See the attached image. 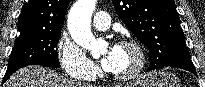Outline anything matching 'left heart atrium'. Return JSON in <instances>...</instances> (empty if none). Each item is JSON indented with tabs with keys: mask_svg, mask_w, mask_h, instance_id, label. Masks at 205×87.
Segmentation results:
<instances>
[{
	"mask_svg": "<svg viewBox=\"0 0 205 87\" xmlns=\"http://www.w3.org/2000/svg\"><path fill=\"white\" fill-rule=\"evenodd\" d=\"M102 64V67L105 69V70H109L110 71V68H111V60H110V57L109 56H105L101 62Z\"/></svg>",
	"mask_w": 205,
	"mask_h": 87,
	"instance_id": "obj_1",
	"label": "left heart atrium"
}]
</instances>
